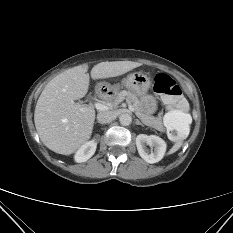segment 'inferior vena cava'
<instances>
[{"mask_svg": "<svg viewBox=\"0 0 233 233\" xmlns=\"http://www.w3.org/2000/svg\"><path fill=\"white\" fill-rule=\"evenodd\" d=\"M116 118V115L113 111H104L100 112L97 115L98 123L106 124L112 122Z\"/></svg>", "mask_w": 233, "mask_h": 233, "instance_id": "1", "label": "inferior vena cava"}]
</instances>
